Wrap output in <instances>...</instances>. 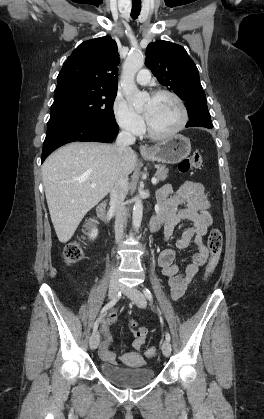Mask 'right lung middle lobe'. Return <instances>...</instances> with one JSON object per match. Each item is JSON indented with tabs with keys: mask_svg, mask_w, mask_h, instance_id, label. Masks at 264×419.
<instances>
[{
	"mask_svg": "<svg viewBox=\"0 0 264 419\" xmlns=\"http://www.w3.org/2000/svg\"><path fill=\"white\" fill-rule=\"evenodd\" d=\"M116 91L90 89L68 84L55 89L47 133L74 122H115L113 103Z\"/></svg>",
	"mask_w": 264,
	"mask_h": 419,
	"instance_id": "dd1d6c3e",
	"label": "right lung middle lobe"
}]
</instances>
